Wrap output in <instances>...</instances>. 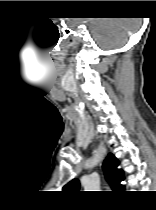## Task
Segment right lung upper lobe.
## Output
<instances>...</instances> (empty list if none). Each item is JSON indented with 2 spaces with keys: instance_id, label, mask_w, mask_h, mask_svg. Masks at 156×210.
Returning <instances> with one entry per match:
<instances>
[{
  "instance_id": "cb5924a9",
  "label": "right lung upper lobe",
  "mask_w": 156,
  "mask_h": 210,
  "mask_svg": "<svg viewBox=\"0 0 156 210\" xmlns=\"http://www.w3.org/2000/svg\"><path fill=\"white\" fill-rule=\"evenodd\" d=\"M118 165H119V161L112 153H109L106 156L102 165L103 170H104V175L113 190L124 189V185H121L120 182L123 181L125 177H124V173L122 169L117 168ZM65 187L78 190L80 187L79 180L73 179Z\"/></svg>"
}]
</instances>
